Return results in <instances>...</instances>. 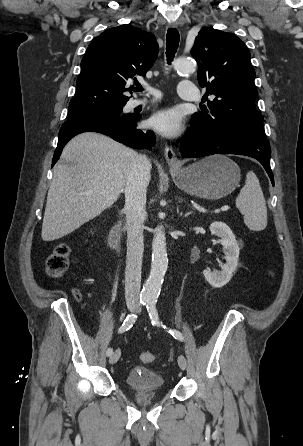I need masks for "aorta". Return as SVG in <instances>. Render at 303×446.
<instances>
[{"mask_svg":"<svg viewBox=\"0 0 303 446\" xmlns=\"http://www.w3.org/2000/svg\"><path fill=\"white\" fill-rule=\"evenodd\" d=\"M174 68L179 73H192L196 65L185 58H178L174 63ZM168 267L166 250V237L162 226H157L154 230L152 241V263L150 275L143 285L142 299L144 301H156L164 280V275Z\"/></svg>","mask_w":303,"mask_h":446,"instance_id":"obj_1","label":"aorta"}]
</instances>
